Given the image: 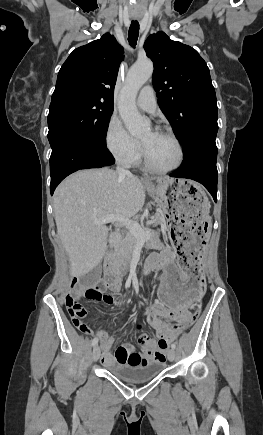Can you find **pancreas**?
<instances>
[{
	"label": "pancreas",
	"instance_id": "obj_1",
	"mask_svg": "<svg viewBox=\"0 0 263 435\" xmlns=\"http://www.w3.org/2000/svg\"><path fill=\"white\" fill-rule=\"evenodd\" d=\"M147 231L151 233L150 238L146 242L147 246L152 249L159 248L158 233L151 229H147ZM137 243L138 238L130 232L126 235L124 241L116 250L115 256L112 261V266L119 273L125 272L127 270L131 260L132 251Z\"/></svg>",
	"mask_w": 263,
	"mask_h": 435
}]
</instances>
